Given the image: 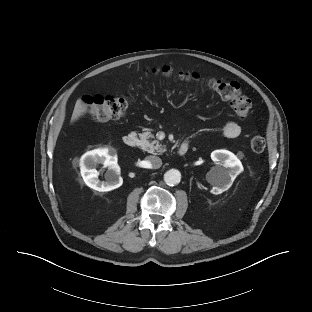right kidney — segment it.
<instances>
[{
  "label": "right kidney",
  "instance_id": "obj_1",
  "mask_svg": "<svg viewBox=\"0 0 312 312\" xmlns=\"http://www.w3.org/2000/svg\"><path fill=\"white\" fill-rule=\"evenodd\" d=\"M98 164L108 167L105 181L98 179L99 172L96 170ZM80 170L85 184L100 192L114 190L123 183L117 156L111 155L108 149H96L85 153L80 159Z\"/></svg>",
  "mask_w": 312,
  "mask_h": 312
}]
</instances>
